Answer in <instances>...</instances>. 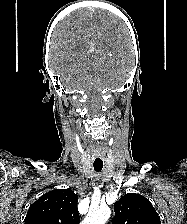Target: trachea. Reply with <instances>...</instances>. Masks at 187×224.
Here are the masks:
<instances>
[{"mask_svg": "<svg viewBox=\"0 0 187 224\" xmlns=\"http://www.w3.org/2000/svg\"><path fill=\"white\" fill-rule=\"evenodd\" d=\"M93 166H94L95 171L99 172L103 168V162H94Z\"/></svg>", "mask_w": 187, "mask_h": 224, "instance_id": "3493384b", "label": "trachea"}]
</instances>
